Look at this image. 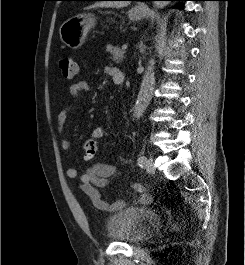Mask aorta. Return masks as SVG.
I'll return each mask as SVG.
<instances>
[{
	"label": "aorta",
	"instance_id": "obj_1",
	"mask_svg": "<svg viewBox=\"0 0 245 265\" xmlns=\"http://www.w3.org/2000/svg\"><path fill=\"white\" fill-rule=\"evenodd\" d=\"M165 5H167L166 1H157L154 4L156 8H163ZM153 65L154 61L151 60L142 77L140 91L138 93L137 100L133 108V116L137 119L142 117L144 111L146 110L147 106L149 105V102L152 99L153 90L155 86V75Z\"/></svg>",
	"mask_w": 245,
	"mask_h": 265
}]
</instances>
